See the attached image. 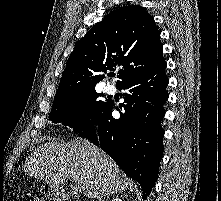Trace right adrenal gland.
<instances>
[{"label":"right adrenal gland","mask_w":221,"mask_h":201,"mask_svg":"<svg viewBox=\"0 0 221 201\" xmlns=\"http://www.w3.org/2000/svg\"><path fill=\"white\" fill-rule=\"evenodd\" d=\"M117 194V193H116ZM111 194H106V195H102V196H99L98 198H97V201H102V198L104 197V198H109V196H110Z\"/></svg>","instance_id":"obj_1"}]
</instances>
